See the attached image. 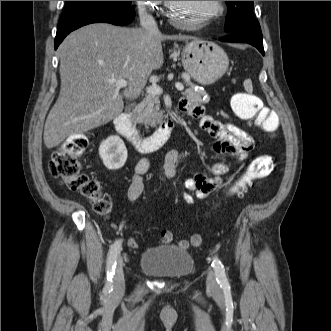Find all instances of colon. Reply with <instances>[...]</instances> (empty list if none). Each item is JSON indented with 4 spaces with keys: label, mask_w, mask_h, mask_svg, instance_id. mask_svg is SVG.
Returning a JSON list of instances; mask_svg holds the SVG:
<instances>
[{
    "label": "colon",
    "mask_w": 331,
    "mask_h": 331,
    "mask_svg": "<svg viewBox=\"0 0 331 331\" xmlns=\"http://www.w3.org/2000/svg\"><path fill=\"white\" fill-rule=\"evenodd\" d=\"M231 107L239 119L251 123L264 132L274 133L279 127L277 113L263 107L262 101L252 93L235 94L231 99ZM87 146L88 140L83 134L68 137L53 153L50 172L67 189L79 192L88 198L97 213L106 215L110 204L103 198L99 182L83 172L80 162V156ZM272 170L273 159L270 155L257 156L231 188L230 194L235 197L243 196L255 181L267 177ZM190 242L194 246H200L202 238L198 234H193L190 236Z\"/></svg>",
    "instance_id": "5ec220e1"
}]
</instances>
